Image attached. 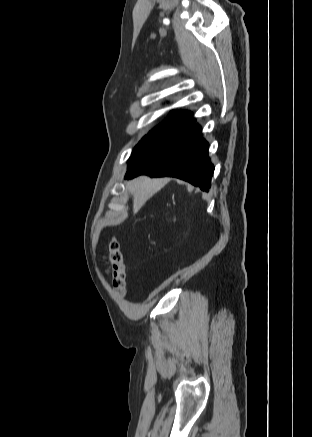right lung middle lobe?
<instances>
[{"mask_svg": "<svg viewBox=\"0 0 312 437\" xmlns=\"http://www.w3.org/2000/svg\"><path fill=\"white\" fill-rule=\"evenodd\" d=\"M195 124L192 113L187 111H170L167 118L152 129L133 150V154L160 148L185 133Z\"/></svg>", "mask_w": 312, "mask_h": 437, "instance_id": "1", "label": "right lung middle lobe"}]
</instances>
